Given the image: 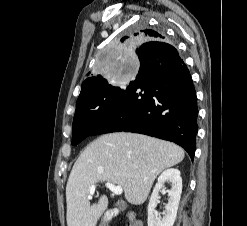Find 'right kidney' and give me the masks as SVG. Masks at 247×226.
<instances>
[{
    "label": "right kidney",
    "instance_id": "1",
    "mask_svg": "<svg viewBox=\"0 0 247 226\" xmlns=\"http://www.w3.org/2000/svg\"><path fill=\"white\" fill-rule=\"evenodd\" d=\"M165 182L171 183V189L168 191V203L165 206L163 217L155 210L159 192L164 187ZM182 192V178L178 169H167L158 177L148 205V226H173Z\"/></svg>",
    "mask_w": 247,
    "mask_h": 226
}]
</instances>
